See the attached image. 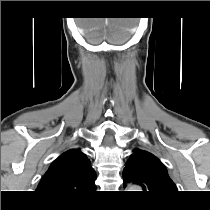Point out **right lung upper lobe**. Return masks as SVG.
Segmentation results:
<instances>
[{
  "mask_svg": "<svg viewBox=\"0 0 210 210\" xmlns=\"http://www.w3.org/2000/svg\"><path fill=\"white\" fill-rule=\"evenodd\" d=\"M95 179L86 155L80 149H71L54 160L36 191L56 202H70L92 193Z\"/></svg>",
  "mask_w": 210,
  "mask_h": 210,
  "instance_id": "right-lung-upper-lobe-1",
  "label": "right lung upper lobe"
}]
</instances>
